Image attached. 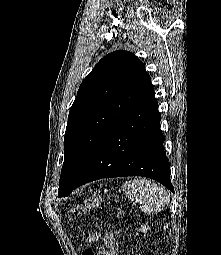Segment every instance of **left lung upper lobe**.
<instances>
[{
  "mask_svg": "<svg viewBox=\"0 0 221 255\" xmlns=\"http://www.w3.org/2000/svg\"><path fill=\"white\" fill-rule=\"evenodd\" d=\"M153 90L144 64L131 52H112L95 65L69 112L59 197L73 191L116 122Z\"/></svg>",
  "mask_w": 221,
  "mask_h": 255,
  "instance_id": "1",
  "label": "left lung upper lobe"
}]
</instances>
